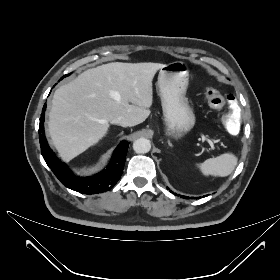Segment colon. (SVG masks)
Listing matches in <instances>:
<instances>
[{"label":"colon","instance_id":"colon-1","mask_svg":"<svg viewBox=\"0 0 280 280\" xmlns=\"http://www.w3.org/2000/svg\"><path fill=\"white\" fill-rule=\"evenodd\" d=\"M206 99L208 104L214 109L222 108L225 103L230 106L228 110L230 116L226 113H222L218 116L217 121L220 125L227 128L231 136H238L241 132L240 122L242 117L240 115V108L235 105V96L231 93L222 95L217 89L210 87L206 91Z\"/></svg>","mask_w":280,"mask_h":280}]
</instances>
